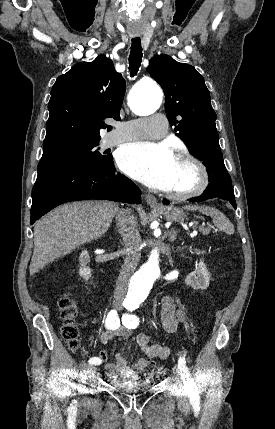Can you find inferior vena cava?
I'll return each mask as SVG.
<instances>
[{
  "label": "inferior vena cava",
  "mask_w": 275,
  "mask_h": 429,
  "mask_svg": "<svg viewBox=\"0 0 275 429\" xmlns=\"http://www.w3.org/2000/svg\"><path fill=\"white\" fill-rule=\"evenodd\" d=\"M116 224L123 238L124 252L126 254L114 290V301L121 303L125 298L130 276L135 271L140 259L139 246L141 238L137 229L136 219L130 210H119L116 215Z\"/></svg>",
  "instance_id": "1"
}]
</instances>
